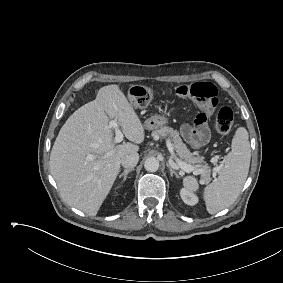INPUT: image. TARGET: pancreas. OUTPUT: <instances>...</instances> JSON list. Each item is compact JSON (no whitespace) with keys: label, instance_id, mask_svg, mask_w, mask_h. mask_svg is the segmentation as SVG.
I'll list each match as a JSON object with an SVG mask.
<instances>
[{"label":"pancreas","instance_id":"obj_1","mask_svg":"<svg viewBox=\"0 0 283 283\" xmlns=\"http://www.w3.org/2000/svg\"><path fill=\"white\" fill-rule=\"evenodd\" d=\"M152 135H158L162 138H169L179 159L189 165H192L194 167L195 172L201 174V181L203 183H208L210 181V167L207 163L203 161V157L195 156V153H192L186 147V145L180 138L179 132L177 130L165 126L153 131Z\"/></svg>","mask_w":283,"mask_h":283}]
</instances>
